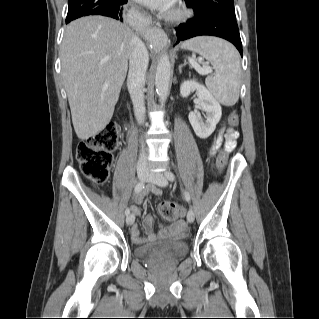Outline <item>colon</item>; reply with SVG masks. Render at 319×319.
Segmentation results:
<instances>
[{"instance_id": "5ec220e1", "label": "colon", "mask_w": 319, "mask_h": 319, "mask_svg": "<svg viewBox=\"0 0 319 319\" xmlns=\"http://www.w3.org/2000/svg\"><path fill=\"white\" fill-rule=\"evenodd\" d=\"M239 118L236 112L229 116L232 129L238 127ZM119 129L116 124L108 123L101 131L81 141L77 146V159L83 175L95 185H103L109 178V170L113 161V153L117 146ZM220 171L224 170L225 152L222 150L217 157ZM159 210L167 220L175 221L182 209L175 201H165L159 205Z\"/></svg>"}]
</instances>
